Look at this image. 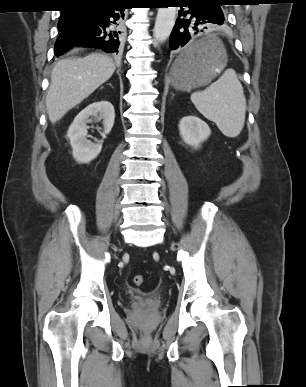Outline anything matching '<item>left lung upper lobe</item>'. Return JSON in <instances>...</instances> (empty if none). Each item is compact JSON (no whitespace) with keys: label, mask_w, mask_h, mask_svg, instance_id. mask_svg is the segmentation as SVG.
<instances>
[{"label":"left lung upper lobe","mask_w":306,"mask_h":387,"mask_svg":"<svg viewBox=\"0 0 306 387\" xmlns=\"http://www.w3.org/2000/svg\"><path fill=\"white\" fill-rule=\"evenodd\" d=\"M199 1H212V2H218V3H222L223 0H199Z\"/></svg>","instance_id":"obj_1"}]
</instances>
